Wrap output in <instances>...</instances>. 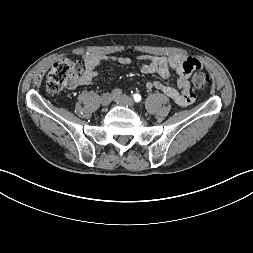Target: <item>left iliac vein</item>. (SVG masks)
Masks as SVG:
<instances>
[{
    "label": "left iliac vein",
    "instance_id": "left-iliac-vein-1",
    "mask_svg": "<svg viewBox=\"0 0 253 253\" xmlns=\"http://www.w3.org/2000/svg\"><path fill=\"white\" fill-rule=\"evenodd\" d=\"M115 102L119 103L120 105L127 106L133 108L135 103L132 98L127 95H121L113 98Z\"/></svg>",
    "mask_w": 253,
    "mask_h": 253
}]
</instances>
